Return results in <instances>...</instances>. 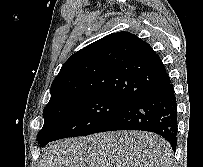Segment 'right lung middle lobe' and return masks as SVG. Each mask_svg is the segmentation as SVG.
Listing matches in <instances>:
<instances>
[{
	"label": "right lung middle lobe",
	"instance_id": "dd1d6c3e",
	"mask_svg": "<svg viewBox=\"0 0 203 167\" xmlns=\"http://www.w3.org/2000/svg\"><path fill=\"white\" fill-rule=\"evenodd\" d=\"M129 103L113 96L92 95L44 109L38 142L44 147L54 140L96 133Z\"/></svg>",
	"mask_w": 203,
	"mask_h": 167
}]
</instances>
